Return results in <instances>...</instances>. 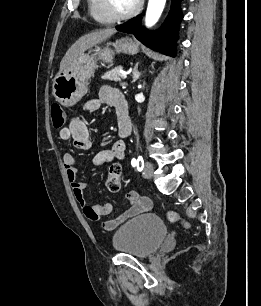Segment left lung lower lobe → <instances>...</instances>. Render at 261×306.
<instances>
[{"mask_svg":"<svg viewBox=\"0 0 261 306\" xmlns=\"http://www.w3.org/2000/svg\"><path fill=\"white\" fill-rule=\"evenodd\" d=\"M182 0H172L170 12L164 24L156 32H147L141 27V16H137L116 27L117 30L133 34L149 48L170 56H176L175 42L178 39V28L183 18L180 9Z\"/></svg>","mask_w":261,"mask_h":306,"instance_id":"left-lung-lower-lobe-1","label":"left lung lower lobe"}]
</instances>
